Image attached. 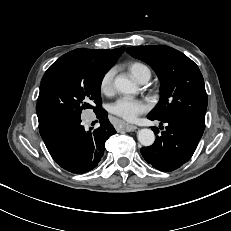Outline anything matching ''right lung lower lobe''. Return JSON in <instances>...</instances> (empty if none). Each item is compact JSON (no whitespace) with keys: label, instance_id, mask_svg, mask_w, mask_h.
Segmentation results:
<instances>
[{"label":"right lung lower lobe","instance_id":"98d812e1","mask_svg":"<svg viewBox=\"0 0 231 231\" xmlns=\"http://www.w3.org/2000/svg\"><path fill=\"white\" fill-rule=\"evenodd\" d=\"M95 113L100 127L94 130L86 131L80 118L58 120L40 128L50 155L63 169L82 174L98 165L105 151V141L116 131L104 109Z\"/></svg>","mask_w":231,"mask_h":231}]
</instances>
